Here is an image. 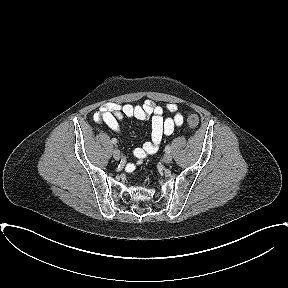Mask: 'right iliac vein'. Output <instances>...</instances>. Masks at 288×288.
Listing matches in <instances>:
<instances>
[{
	"label": "right iliac vein",
	"instance_id": "obj_1",
	"mask_svg": "<svg viewBox=\"0 0 288 288\" xmlns=\"http://www.w3.org/2000/svg\"><path fill=\"white\" fill-rule=\"evenodd\" d=\"M113 157L115 160H119L121 158V153L118 149L113 150Z\"/></svg>",
	"mask_w": 288,
	"mask_h": 288
}]
</instances>
